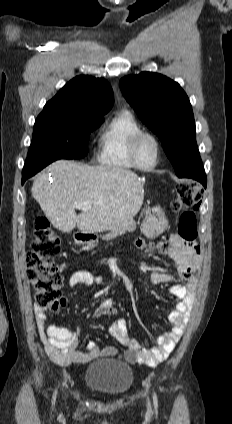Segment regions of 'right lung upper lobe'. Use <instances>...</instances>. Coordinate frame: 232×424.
<instances>
[{
  "label": "right lung upper lobe",
  "mask_w": 232,
  "mask_h": 424,
  "mask_svg": "<svg viewBox=\"0 0 232 424\" xmlns=\"http://www.w3.org/2000/svg\"><path fill=\"white\" fill-rule=\"evenodd\" d=\"M113 102L112 88L105 79L82 75L68 82L46 103L43 111L68 110L103 118Z\"/></svg>",
  "instance_id": "cb5924a9"
}]
</instances>
